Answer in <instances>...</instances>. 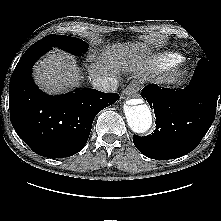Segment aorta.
I'll return each instance as SVG.
<instances>
[{
	"mask_svg": "<svg viewBox=\"0 0 221 221\" xmlns=\"http://www.w3.org/2000/svg\"><path fill=\"white\" fill-rule=\"evenodd\" d=\"M124 114L130 129L138 134L147 132L152 126V115L146 104L124 106Z\"/></svg>",
	"mask_w": 221,
	"mask_h": 221,
	"instance_id": "aorta-1",
	"label": "aorta"
}]
</instances>
